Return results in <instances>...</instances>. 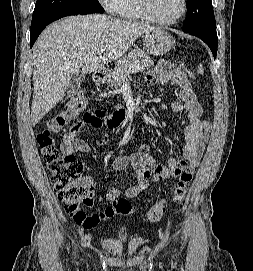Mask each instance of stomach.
Masks as SVG:
<instances>
[{"label": "stomach", "instance_id": "0dacf381", "mask_svg": "<svg viewBox=\"0 0 253 271\" xmlns=\"http://www.w3.org/2000/svg\"><path fill=\"white\" fill-rule=\"evenodd\" d=\"M143 42L147 52L154 56H162L174 46L173 37L159 28L145 33Z\"/></svg>", "mask_w": 253, "mask_h": 271}]
</instances>
